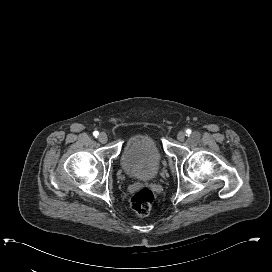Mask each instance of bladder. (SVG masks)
Segmentation results:
<instances>
[{
  "label": "bladder",
  "instance_id": "bladder-1",
  "mask_svg": "<svg viewBox=\"0 0 272 272\" xmlns=\"http://www.w3.org/2000/svg\"><path fill=\"white\" fill-rule=\"evenodd\" d=\"M123 168L132 176L151 179L162 163V154L156 141L144 134L129 139L121 152Z\"/></svg>",
  "mask_w": 272,
  "mask_h": 272
}]
</instances>
